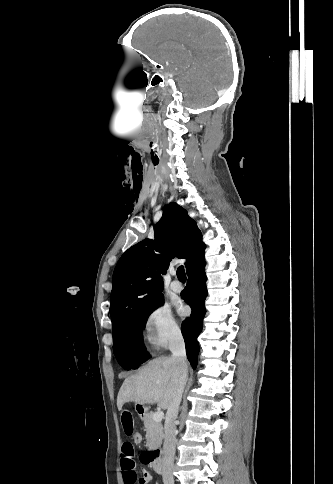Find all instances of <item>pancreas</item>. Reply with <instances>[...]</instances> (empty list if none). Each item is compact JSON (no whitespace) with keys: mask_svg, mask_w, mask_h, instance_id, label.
I'll list each match as a JSON object with an SVG mask.
<instances>
[{"mask_svg":"<svg viewBox=\"0 0 333 484\" xmlns=\"http://www.w3.org/2000/svg\"><path fill=\"white\" fill-rule=\"evenodd\" d=\"M153 414V412H150L143 417L146 431V446L149 450L160 447L164 437L163 426L161 422H155L153 420Z\"/></svg>","mask_w":333,"mask_h":484,"instance_id":"pancreas-1","label":"pancreas"}]
</instances>
